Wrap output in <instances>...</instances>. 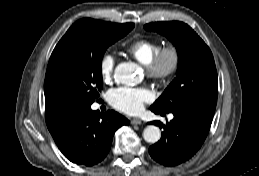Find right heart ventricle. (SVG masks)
<instances>
[{
	"instance_id": "right-heart-ventricle-1",
	"label": "right heart ventricle",
	"mask_w": 259,
	"mask_h": 176,
	"mask_svg": "<svg viewBox=\"0 0 259 176\" xmlns=\"http://www.w3.org/2000/svg\"><path fill=\"white\" fill-rule=\"evenodd\" d=\"M162 44L158 40L150 38H139L132 41L127 46V53L143 65L148 64L156 53L160 50Z\"/></svg>"
}]
</instances>
